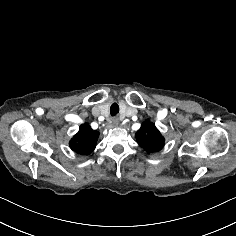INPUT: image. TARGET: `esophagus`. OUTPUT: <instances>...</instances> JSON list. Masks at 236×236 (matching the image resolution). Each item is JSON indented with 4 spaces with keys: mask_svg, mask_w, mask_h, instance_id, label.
I'll return each instance as SVG.
<instances>
[{
    "mask_svg": "<svg viewBox=\"0 0 236 236\" xmlns=\"http://www.w3.org/2000/svg\"><path fill=\"white\" fill-rule=\"evenodd\" d=\"M111 127H117L119 125V118L117 116H113L109 122Z\"/></svg>",
    "mask_w": 236,
    "mask_h": 236,
    "instance_id": "obj_1",
    "label": "esophagus"
}]
</instances>
